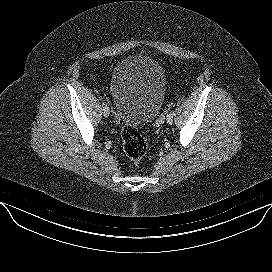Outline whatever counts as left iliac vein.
<instances>
[{"label": "left iliac vein", "mask_w": 272, "mask_h": 272, "mask_svg": "<svg viewBox=\"0 0 272 272\" xmlns=\"http://www.w3.org/2000/svg\"><path fill=\"white\" fill-rule=\"evenodd\" d=\"M166 121H167L168 124H172V122H173V115L172 116H168L167 115Z\"/></svg>", "instance_id": "obj_1"}]
</instances>
